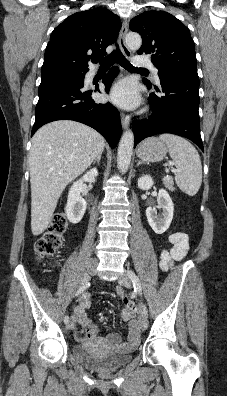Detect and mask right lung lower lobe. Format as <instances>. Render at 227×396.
Instances as JSON below:
<instances>
[{
	"instance_id": "1",
	"label": "right lung lower lobe",
	"mask_w": 227,
	"mask_h": 396,
	"mask_svg": "<svg viewBox=\"0 0 227 396\" xmlns=\"http://www.w3.org/2000/svg\"><path fill=\"white\" fill-rule=\"evenodd\" d=\"M118 72V68L113 67L103 79L107 93ZM92 93L93 90L85 87L84 78L57 76L43 79L39 86L36 119L31 135L46 123L74 120L97 130L111 148H115L121 135L119 112L111 103H95L91 98Z\"/></svg>"
}]
</instances>
